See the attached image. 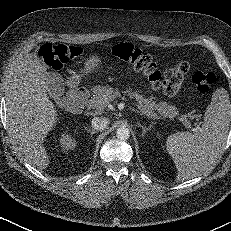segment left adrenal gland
<instances>
[{"mask_svg": "<svg viewBox=\"0 0 231 231\" xmlns=\"http://www.w3.org/2000/svg\"><path fill=\"white\" fill-rule=\"evenodd\" d=\"M139 127L142 128V137L149 131V128L143 126L140 122L137 123Z\"/></svg>", "mask_w": 231, "mask_h": 231, "instance_id": "left-adrenal-gland-1", "label": "left adrenal gland"}]
</instances>
